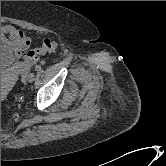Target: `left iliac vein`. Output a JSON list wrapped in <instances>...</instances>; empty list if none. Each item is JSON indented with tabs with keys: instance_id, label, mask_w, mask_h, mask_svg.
<instances>
[{
	"instance_id": "obj_1",
	"label": "left iliac vein",
	"mask_w": 166,
	"mask_h": 166,
	"mask_svg": "<svg viewBox=\"0 0 166 166\" xmlns=\"http://www.w3.org/2000/svg\"><path fill=\"white\" fill-rule=\"evenodd\" d=\"M35 80V74L34 73H30L27 77V81L28 82H33Z\"/></svg>"
}]
</instances>
